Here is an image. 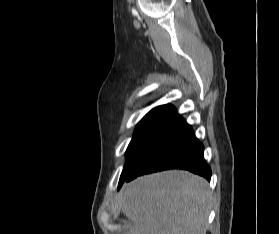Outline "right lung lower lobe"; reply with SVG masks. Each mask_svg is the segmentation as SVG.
<instances>
[{
    "mask_svg": "<svg viewBox=\"0 0 279 234\" xmlns=\"http://www.w3.org/2000/svg\"><path fill=\"white\" fill-rule=\"evenodd\" d=\"M203 151L192 128L173 109L144 144L124 181L166 169H185L210 180Z\"/></svg>",
    "mask_w": 279,
    "mask_h": 234,
    "instance_id": "98d812e1",
    "label": "right lung lower lobe"
}]
</instances>
